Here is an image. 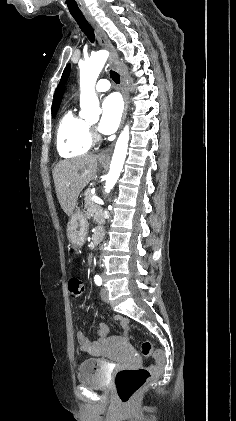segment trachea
I'll list each match as a JSON object with an SVG mask.
<instances>
[{
    "label": "trachea",
    "instance_id": "trachea-1",
    "mask_svg": "<svg viewBox=\"0 0 236 421\" xmlns=\"http://www.w3.org/2000/svg\"><path fill=\"white\" fill-rule=\"evenodd\" d=\"M74 20H76L77 24L81 28L82 32L86 35L88 40L91 43L95 42V34L93 27L90 25V23L86 20V18L83 15H73ZM110 77L115 83H120V76L118 73L114 72L113 70H110Z\"/></svg>",
    "mask_w": 236,
    "mask_h": 421
}]
</instances>
